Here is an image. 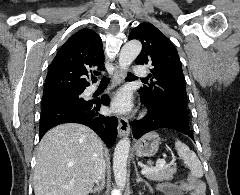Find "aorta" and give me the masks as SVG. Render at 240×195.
Instances as JSON below:
<instances>
[{"label":"aorta","mask_w":240,"mask_h":195,"mask_svg":"<svg viewBox=\"0 0 240 195\" xmlns=\"http://www.w3.org/2000/svg\"><path fill=\"white\" fill-rule=\"evenodd\" d=\"M142 50V44L139 40H131L123 46L119 56V68L122 74L127 72L132 62L136 60ZM130 141L128 137H123L118 141L113 157V171L116 185L124 189L127 179V159L129 155Z\"/></svg>","instance_id":"1"}]
</instances>
